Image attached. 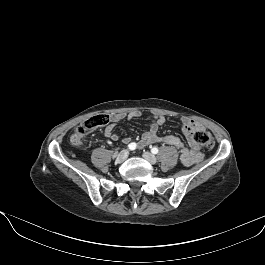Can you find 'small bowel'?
<instances>
[{
	"label": "small bowel",
	"mask_w": 265,
	"mask_h": 265,
	"mask_svg": "<svg viewBox=\"0 0 265 265\" xmlns=\"http://www.w3.org/2000/svg\"><path fill=\"white\" fill-rule=\"evenodd\" d=\"M142 115L141 111L133 110L128 114L125 113H114L111 114L109 124L106 126L104 130V135L106 138H109L113 141H117L119 139V135L114 133L113 130L115 126L121 122L123 119L127 118L128 120H133ZM165 122V117L162 115L154 114L151 116V123L149 125L148 130H146L142 136L140 141L138 142V148H144L148 145L154 143H164L170 146L176 147L180 152V159L185 166H190L195 163H198L202 159V154L200 152V148L198 143L195 140V133L199 130H203L204 127L201 123L192 120L190 118L184 117L181 120L180 128L184 136L186 137L188 146L185 142L178 136H166L160 137L158 135V128L163 125ZM124 143H129L130 138L124 137Z\"/></svg>",
	"instance_id": "c3829d8e"
}]
</instances>
